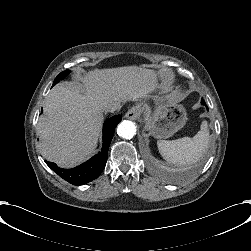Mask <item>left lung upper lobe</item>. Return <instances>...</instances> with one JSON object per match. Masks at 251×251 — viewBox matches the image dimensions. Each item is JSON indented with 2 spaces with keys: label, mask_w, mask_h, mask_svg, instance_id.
<instances>
[{
  "label": "left lung upper lobe",
  "mask_w": 251,
  "mask_h": 251,
  "mask_svg": "<svg viewBox=\"0 0 251 251\" xmlns=\"http://www.w3.org/2000/svg\"><path fill=\"white\" fill-rule=\"evenodd\" d=\"M202 104H205L204 100H202Z\"/></svg>",
  "instance_id": "left-lung-upper-lobe-1"
}]
</instances>
